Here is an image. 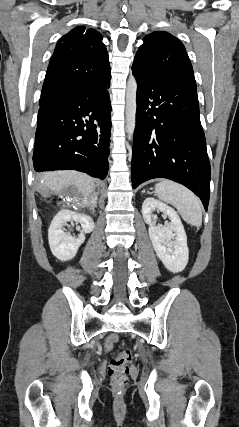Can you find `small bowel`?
<instances>
[{"label": "small bowel", "instance_id": "obj_1", "mask_svg": "<svg viewBox=\"0 0 239 427\" xmlns=\"http://www.w3.org/2000/svg\"><path fill=\"white\" fill-rule=\"evenodd\" d=\"M115 341H116L115 335L109 336L105 342L106 349H108V350L111 349Z\"/></svg>", "mask_w": 239, "mask_h": 427}]
</instances>
